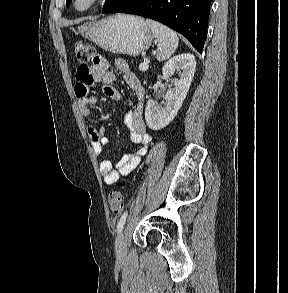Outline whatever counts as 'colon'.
Listing matches in <instances>:
<instances>
[{"label": "colon", "mask_w": 288, "mask_h": 293, "mask_svg": "<svg viewBox=\"0 0 288 293\" xmlns=\"http://www.w3.org/2000/svg\"><path fill=\"white\" fill-rule=\"evenodd\" d=\"M74 51L80 65L85 67H88L89 63L91 61L93 62L96 56L93 47L84 41H76L74 44ZM108 204L113 213L119 214L124 207L123 194L120 191L111 192L108 197Z\"/></svg>", "instance_id": "5ec220e1"}]
</instances>
